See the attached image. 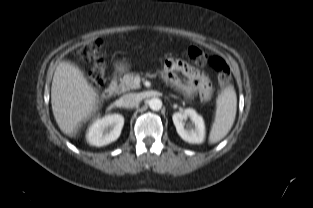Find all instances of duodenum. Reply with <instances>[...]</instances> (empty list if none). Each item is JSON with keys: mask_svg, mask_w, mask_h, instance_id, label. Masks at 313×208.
<instances>
[{"mask_svg": "<svg viewBox=\"0 0 313 208\" xmlns=\"http://www.w3.org/2000/svg\"><path fill=\"white\" fill-rule=\"evenodd\" d=\"M117 84L115 82H111L103 91V95L105 98L109 99L113 96L116 90Z\"/></svg>", "mask_w": 313, "mask_h": 208, "instance_id": "duodenum-1", "label": "duodenum"}]
</instances>
